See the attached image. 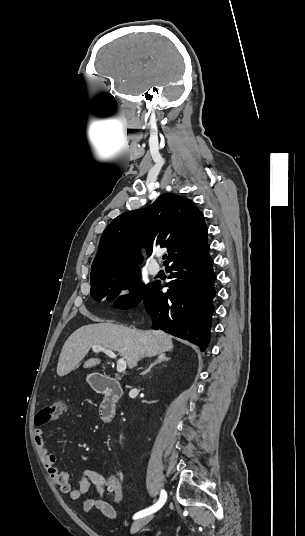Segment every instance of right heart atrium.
Listing matches in <instances>:
<instances>
[{"label": "right heart atrium", "mask_w": 305, "mask_h": 536, "mask_svg": "<svg viewBox=\"0 0 305 536\" xmlns=\"http://www.w3.org/2000/svg\"><path fill=\"white\" fill-rule=\"evenodd\" d=\"M130 289L128 286L122 287L116 295V301L119 306H124L129 297Z\"/></svg>", "instance_id": "right-heart-atrium-1"}]
</instances>
